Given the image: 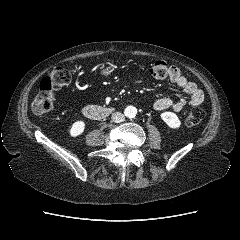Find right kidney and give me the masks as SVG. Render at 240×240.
<instances>
[{
  "instance_id": "1",
  "label": "right kidney",
  "mask_w": 240,
  "mask_h": 240,
  "mask_svg": "<svg viewBox=\"0 0 240 240\" xmlns=\"http://www.w3.org/2000/svg\"><path fill=\"white\" fill-rule=\"evenodd\" d=\"M85 129V122L83 121H76L72 124L70 129V135L72 137H76L84 132Z\"/></svg>"
}]
</instances>
